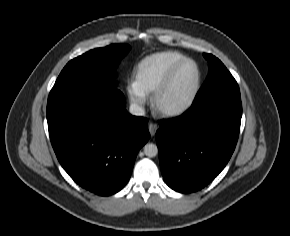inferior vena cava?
<instances>
[{
  "instance_id": "602c4592",
  "label": "inferior vena cava",
  "mask_w": 290,
  "mask_h": 236,
  "mask_svg": "<svg viewBox=\"0 0 290 236\" xmlns=\"http://www.w3.org/2000/svg\"><path fill=\"white\" fill-rule=\"evenodd\" d=\"M129 112L135 116H144L145 110L142 106L138 104H131L129 108Z\"/></svg>"
}]
</instances>
